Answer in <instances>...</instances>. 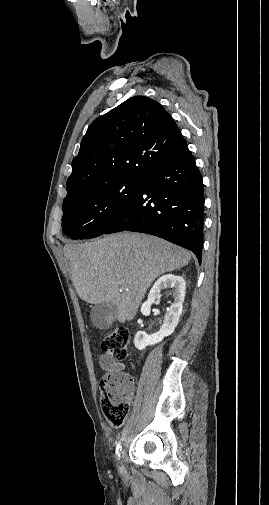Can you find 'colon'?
Wrapping results in <instances>:
<instances>
[{
	"mask_svg": "<svg viewBox=\"0 0 269 505\" xmlns=\"http://www.w3.org/2000/svg\"><path fill=\"white\" fill-rule=\"evenodd\" d=\"M130 332L124 326L114 328L102 342L103 351L110 357L123 360L128 354ZM132 384L125 373L106 375L100 381V402L107 422L120 427L129 411Z\"/></svg>",
	"mask_w": 269,
	"mask_h": 505,
	"instance_id": "colon-1",
	"label": "colon"
}]
</instances>
